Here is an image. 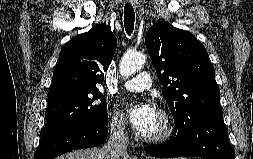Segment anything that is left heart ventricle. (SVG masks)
Wrapping results in <instances>:
<instances>
[{
  "mask_svg": "<svg viewBox=\"0 0 253 159\" xmlns=\"http://www.w3.org/2000/svg\"><path fill=\"white\" fill-rule=\"evenodd\" d=\"M161 127H162V123H161L160 117L157 114L154 123L152 124L151 128L149 129V131L145 135L156 134L160 131Z\"/></svg>",
  "mask_w": 253,
  "mask_h": 159,
  "instance_id": "left-heart-ventricle-1",
  "label": "left heart ventricle"
}]
</instances>
